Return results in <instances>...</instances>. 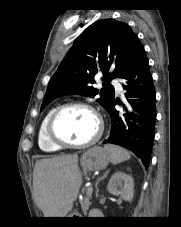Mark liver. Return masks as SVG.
<instances>
[{"label":"liver","instance_id":"liver-1","mask_svg":"<svg viewBox=\"0 0 181 227\" xmlns=\"http://www.w3.org/2000/svg\"><path fill=\"white\" fill-rule=\"evenodd\" d=\"M81 185L77 154L46 158L35 164L33 190L45 217H65L72 210Z\"/></svg>","mask_w":181,"mask_h":227}]
</instances>
